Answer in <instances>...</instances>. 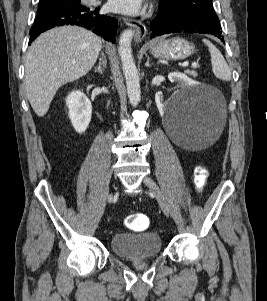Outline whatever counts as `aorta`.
Returning <instances> with one entry per match:
<instances>
[{
  "label": "aorta",
  "mask_w": 267,
  "mask_h": 301,
  "mask_svg": "<svg viewBox=\"0 0 267 301\" xmlns=\"http://www.w3.org/2000/svg\"><path fill=\"white\" fill-rule=\"evenodd\" d=\"M133 35L134 31L131 29H127L121 34L118 52L126 80L128 98L131 105L136 107L141 99V90L138 70L136 68L131 49Z\"/></svg>",
  "instance_id": "obj_1"
}]
</instances>
